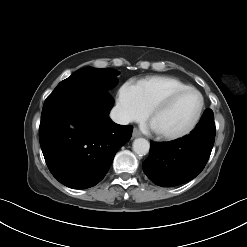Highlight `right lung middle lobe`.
Returning <instances> with one entry per match:
<instances>
[{"instance_id":"1","label":"right lung middle lobe","mask_w":247,"mask_h":247,"mask_svg":"<svg viewBox=\"0 0 247 247\" xmlns=\"http://www.w3.org/2000/svg\"><path fill=\"white\" fill-rule=\"evenodd\" d=\"M118 75L119 72L114 69L83 68L61 81L52 93L73 89H100L107 91L118 83Z\"/></svg>"}]
</instances>
